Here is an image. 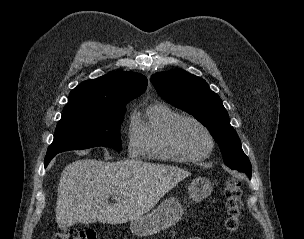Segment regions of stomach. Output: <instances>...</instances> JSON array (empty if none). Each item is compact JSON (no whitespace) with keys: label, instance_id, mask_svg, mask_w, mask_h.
<instances>
[{"label":"stomach","instance_id":"stomach-1","mask_svg":"<svg viewBox=\"0 0 304 239\" xmlns=\"http://www.w3.org/2000/svg\"><path fill=\"white\" fill-rule=\"evenodd\" d=\"M188 189L189 197L198 202L207 198L211 194L213 187L209 179L198 177L191 181ZM184 211L185 209L177 198H167L151 213L131 220V232L139 237L157 234L177 223Z\"/></svg>","mask_w":304,"mask_h":239}]
</instances>
